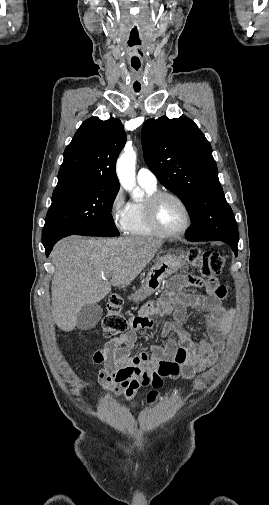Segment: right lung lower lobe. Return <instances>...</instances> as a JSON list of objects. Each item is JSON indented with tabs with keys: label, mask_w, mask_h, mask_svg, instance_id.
I'll return each instance as SVG.
<instances>
[{
	"label": "right lung lower lobe",
	"mask_w": 269,
	"mask_h": 505,
	"mask_svg": "<svg viewBox=\"0 0 269 505\" xmlns=\"http://www.w3.org/2000/svg\"><path fill=\"white\" fill-rule=\"evenodd\" d=\"M69 235H72V234H61V235H57V236H54L52 237L51 239L43 242L44 244V247H45V250H46V256H48L54 246V244L60 240L61 238L63 237H66V236H69Z\"/></svg>",
	"instance_id": "right-lung-lower-lobe-1"
}]
</instances>
